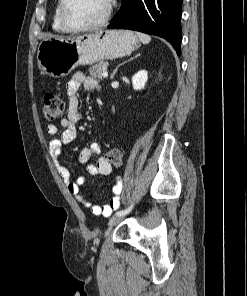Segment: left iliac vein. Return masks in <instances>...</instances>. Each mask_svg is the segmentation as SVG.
<instances>
[{"instance_id":"1","label":"left iliac vein","mask_w":247,"mask_h":296,"mask_svg":"<svg viewBox=\"0 0 247 296\" xmlns=\"http://www.w3.org/2000/svg\"><path fill=\"white\" fill-rule=\"evenodd\" d=\"M125 215H115L114 217H112L110 220H109V225L110 226H115L117 225L118 223H120L123 218H124Z\"/></svg>"}]
</instances>
